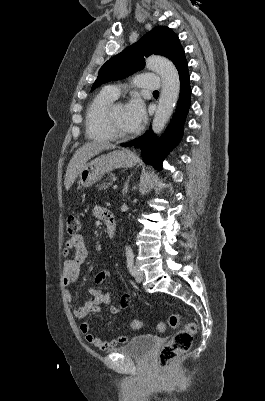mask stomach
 I'll list each match as a JSON object with an SVG mask.
<instances>
[{
	"mask_svg": "<svg viewBox=\"0 0 265 401\" xmlns=\"http://www.w3.org/2000/svg\"><path fill=\"white\" fill-rule=\"evenodd\" d=\"M138 160V156H134L129 150H112L108 154H101L87 162L80 170L79 182L81 186H92L97 180H100L101 176L111 172L114 168L134 166Z\"/></svg>",
	"mask_w": 265,
	"mask_h": 401,
	"instance_id": "stomach-1",
	"label": "stomach"
}]
</instances>
